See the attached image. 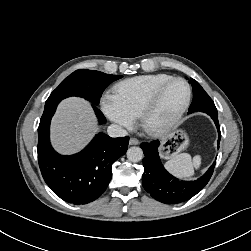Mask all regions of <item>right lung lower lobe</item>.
<instances>
[{
	"mask_svg": "<svg viewBox=\"0 0 251 251\" xmlns=\"http://www.w3.org/2000/svg\"><path fill=\"white\" fill-rule=\"evenodd\" d=\"M59 102L45 105L38 127V161L42 176L62 200L75 205L87 204L106 190L112 177V164L127 151L129 137L111 138L99 133L81 152L58 154L49 139L50 121ZM99 121L106 119L92 105Z\"/></svg>",
	"mask_w": 251,
	"mask_h": 251,
	"instance_id": "obj_1",
	"label": "right lung lower lobe"
}]
</instances>
